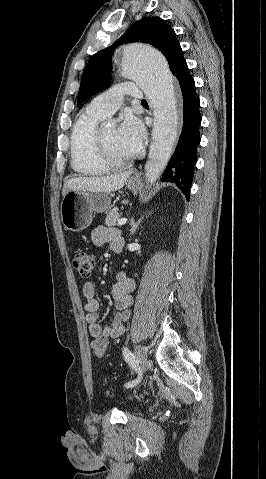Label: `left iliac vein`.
<instances>
[{
    "mask_svg": "<svg viewBox=\"0 0 266 479\" xmlns=\"http://www.w3.org/2000/svg\"><path fill=\"white\" fill-rule=\"evenodd\" d=\"M135 354L140 362V366L142 367V372L141 374L144 373V371L146 370V366H147V363H148V356H147V352L146 350L141 347V346H136L135 348Z\"/></svg>",
    "mask_w": 266,
    "mask_h": 479,
    "instance_id": "4c4485c4",
    "label": "left iliac vein"
}]
</instances>
